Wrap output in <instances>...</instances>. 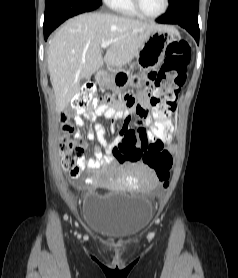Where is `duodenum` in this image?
Segmentation results:
<instances>
[{"label": "duodenum", "mask_w": 238, "mask_h": 278, "mask_svg": "<svg viewBox=\"0 0 238 278\" xmlns=\"http://www.w3.org/2000/svg\"><path fill=\"white\" fill-rule=\"evenodd\" d=\"M98 76H99L100 79H102V78H103V73H102V72H99V73H98Z\"/></svg>", "instance_id": "duodenum-1"}]
</instances>
